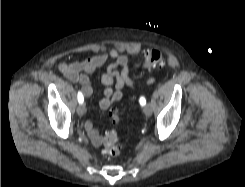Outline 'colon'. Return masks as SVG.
I'll return each mask as SVG.
<instances>
[{"mask_svg": "<svg viewBox=\"0 0 245 187\" xmlns=\"http://www.w3.org/2000/svg\"><path fill=\"white\" fill-rule=\"evenodd\" d=\"M165 64V55L160 50L151 49L146 52L144 60L136 66L139 68L151 70L157 67L164 66ZM110 115L115 120L118 118V114L114 109L110 110ZM103 151L107 156L110 157H116L120 154V145L116 132H111L105 136L103 140Z\"/></svg>", "mask_w": 245, "mask_h": 187, "instance_id": "obj_1", "label": "colon"}]
</instances>
